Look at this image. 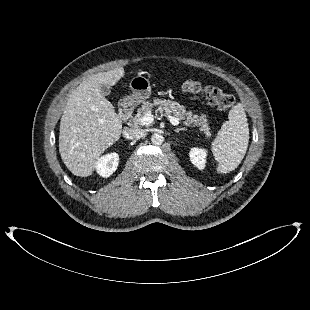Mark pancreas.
<instances>
[{"label":"pancreas","instance_id":"pancreas-1","mask_svg":"<svg viewBox=\"0 0 310 310\" xmlns=\"http://www.w3.org/2000/svg\"><path fill=\"white\" fill-rule=\"evenodd\" d=\"M153 107H158L160 112L164 111L167 114L176 117L178 120L182 121L184 125L200 127L199 130L206 134V138L211 137L210 127L205 114L198 116L197 114H193L190 110L187 111L183 105H180L176 101L162 100L158 98L154 99L153 102H144L142 107L138 109L137 114L133 118V124L135 127L142 125L140 119L145 113L151 112Z\"/></svg>","mask_w":310,"mask_h":310}]
</instances>
